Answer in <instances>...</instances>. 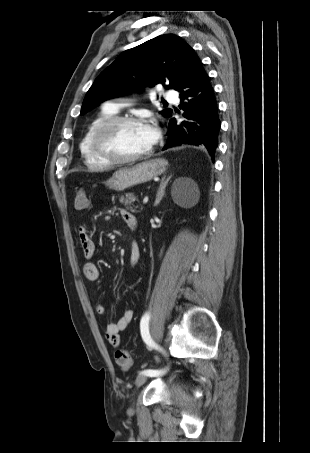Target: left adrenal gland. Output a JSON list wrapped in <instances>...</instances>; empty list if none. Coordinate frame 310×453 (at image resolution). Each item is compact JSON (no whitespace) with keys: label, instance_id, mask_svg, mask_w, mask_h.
Listing matches in <instances>:
<instances>
[{"label":"left adrenal gland","instance_id":"1","mask_svg":"<svg viewBox=\"0 0 310 453\" xmlns=\"http://www.w3.org/2000/svg\"><path fill=\"white\" fill-rule=\"evenodd\" d=\"M170 178H171V176L166 178V175H164L162 177L160 186H159L158 191H157V195H156V200H155L154 206H157L160 203V201L162 200V198H163V196L165 194V188H166L167 183L170 180Z\"/></svg>","mask_w":310,"mask_h":453}]
</instances>
